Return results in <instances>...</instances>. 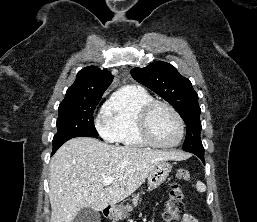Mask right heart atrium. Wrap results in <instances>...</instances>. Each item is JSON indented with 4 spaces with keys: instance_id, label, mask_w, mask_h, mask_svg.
<instances>
[{
    "instance_id": "1",
    "label": "right heart atrium",
    "mask_w": 257,
    "mask_h": 222,
    "mask_svg": "<svg viewBox=\"0 0 257 222\" xmlns=\"http://www.w3.org/2000/svg\"><path fill=\"white\" fill-rule=\"evenodd\" d=\"M97 129L99 133L105 137L106 139L110 140V135H109V129H108V121L107 119L100 121L97 123Z\"/></svg>"
}]
</instances>
